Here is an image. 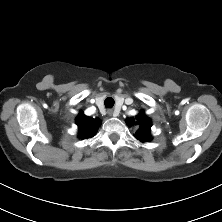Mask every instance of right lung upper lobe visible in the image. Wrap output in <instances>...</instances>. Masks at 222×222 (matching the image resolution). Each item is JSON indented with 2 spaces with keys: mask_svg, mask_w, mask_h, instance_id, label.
I'll use <instances>...</instances> for the list:
<instances>
[{
  "mask_svg": "<svg viewBox=\"0 0 222 222\" xmlns=\"http://www.w3.org/2000/svg\"><path fill=\"white\" fill-rule=\"evenodd\" d=\"M76 124L79 129V136L81 139L91 138L95 135L96 130L101 124L99 119H93L80 112L76 118Z\"/></svg>",
  "mask_w": 222,
  "mask_h": 222,
  "instance_id": "1",
  "label": "right lung upper lobe"
}]
</instances>
